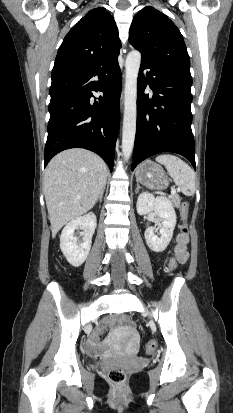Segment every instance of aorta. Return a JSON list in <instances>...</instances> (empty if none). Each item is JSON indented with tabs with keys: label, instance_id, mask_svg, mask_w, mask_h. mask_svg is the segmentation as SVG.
I'll list each match as a JSON object with an SVG mask.
<instances>
[{
	"label": "aorta",
	"instance_id": "762f6f07",
	"mask_svg": "<svg viewBox=\"0 0 233 413\" xmlns=\"http://www.w3.org/2000/svg\"><path fill=\"white\" fill-rule=\"evenodd\" d=\"M141 53L132 50L126 57L124 90V118L122 128V154L128 160L132 154L137 122V79Z\"/></svg>",
	"mask_w": 233,
	"mask_h": 413
}]
</instances>
